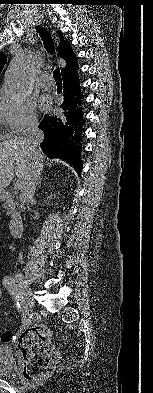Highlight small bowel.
<instances>
[{
    "mask_svg": "<svg viewBox=\"0 0 153 393\" xmlns=\"http://www.w3.org/2000/svg\"><path fill=\"white\" fill-rule=\"evenodd\" d=\"M2 295V289L0 288V297ZM24 325L27 323V320L23 321ZM13 337V333L11 331H5L3 332V334L0 336V340L2 342H8L9 340H11Z\"/></svg>",
    "mask_w": 153,
    "mask_h": 393,
    "instance_id": "c3829d8e",
    "label": "small bowel"
}]
</instances>
